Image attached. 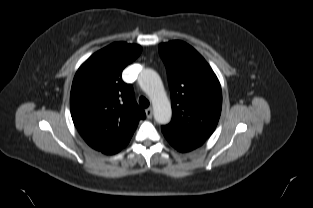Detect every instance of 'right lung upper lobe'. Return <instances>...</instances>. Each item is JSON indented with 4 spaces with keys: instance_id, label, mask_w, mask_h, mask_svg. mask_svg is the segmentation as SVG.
I'll use <instances>...</instances> for the list:
<instances>
[{
    "instance_id": "cb5924a9",
    "label": "right lung upper lobe",
    "mask_w": 313,
    "mask_h": 208,
    "mask_svg": "<svg viewBox=\"0 0 313 208\" xmlns=\"http://www.w3.org/2000/svg\"><path fill=\"white\" fill-rule=\"evenodd\" d=\"M139 45L113 43L90 56L78 69L70 93L71 116L87 140H130L145 112L134 99L123 69L141 53Z\"/></svg>"
}]
</instances>
